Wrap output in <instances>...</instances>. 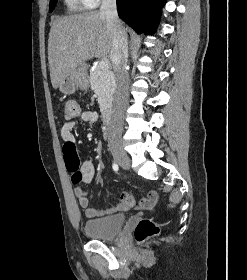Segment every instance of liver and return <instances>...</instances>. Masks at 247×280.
Here are the masks:
<instances>
[{
  "label": "liver",
  "mask_w": 247,
  "mask_h": 280,
  "mask_svg": "<svg viewBox=\"0 0 247 280\" xmlns=\"http://www.w3.org/2000/svg\"><path fill=\"white\" fill-rule=\"evenodd\" d=\"M112 36L101 12L90 11L56 19L48 39V62L53 88H58L78 64L110 57Z\"/></svg>",
  "instance_id": "1"
}]
</instances>
